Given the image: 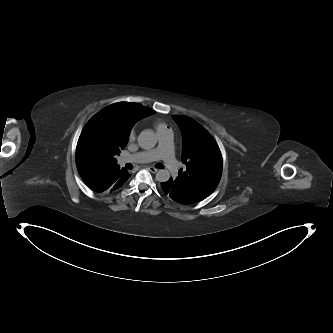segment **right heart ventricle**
Returning a JSON list of instances; mask_svg holds the SVG:
<instances>
[{
	"instance_id": "right-heart-ventricle-1",
	"label": "right heart ventricle",
	"mask_w": 333,
	"mask_h": 333,
	"mask_svg": "<svg viewBox=\"0 0 333 333\" xmlns=\"http://www.w3.org/2000/svg\"><path fill=\"white\" fill-rule=\"evenodd\" d=\"M154 126L156 128L157 133L167 129V125L165 123L159 122V121L155 122Z\"/></svg>"
}]
</instances>
